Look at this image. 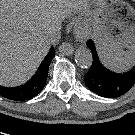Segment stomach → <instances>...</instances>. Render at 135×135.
<instances>
[{"label": "stomach", "mask_w": 135, "mask_h": 135, "mask_svg": "<svg viewBox=\"0 0 135 135\" xmlns=\"http://www.w3.org/2000/svg\"><path fill=\"white\" fill-rule=\"evenodd\" d=\"M94 37L102 59L117 52L135 54V10L123 0H96Z\"/></svg>", "instance_id": "obj_1"}]
</instances>
